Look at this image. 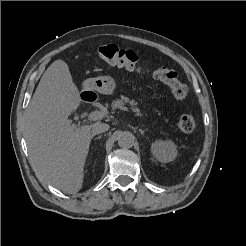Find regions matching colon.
Returning <instances> with one entry per match:
<instances>
[{"label": "colon", "mask_w": 246, "mask_h": 246, "mask_svg": "<svg viewBox=\"0 0 246 246\" xmlns=\"http://www.w3.org/2000/svg\"><path fill=\"white\" fill-rule=\"evenodd\" d=\"M98 58L110 65L126 68L128 70L140 69L138 56L133 51L122 49L114 44L100 47ZM153 76L166 84L176 99L182 100L186 97L187 87L178 79L175 71L167 67H159L154 70ZM176 125L180 131L189 133L194 130L196 121L192 114L185 113L179 117Z\"/></svg>", "instance_id": "5ec220e1"}]
</instances>
